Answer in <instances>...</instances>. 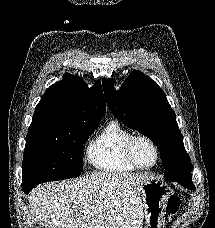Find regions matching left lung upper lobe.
I'll return each mask as SVG.
<instances>
[{
  "label": "left lung upper lobe",
  "mask_w": 215,
  "mask_h": 228,
  "mask_svg": "<svg viewBox=\"0 0 215 228\" xmlns=\"http://www.w3.org/2000/svg\"><path fill=\"white\" fill-rule=\"evenodd\" d=\"M113 84L111 79L102 81L109 109L122 123L146 135L158 146L165 178L191 177V161L184 148L175 112L157 83L134 70L120 90L116 91Z\"/></svg>",
  "instance_id": "5c2ea615"
}]
</instances>
